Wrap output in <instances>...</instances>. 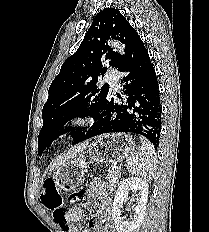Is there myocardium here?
<instances>
[{"label":"myocardium","mask_w":209,"mask_h":232,"mask_svg":"<svg viewBox=\"0 0 209 232\" xmlns=\"http://www.w3.org/2000/svg\"><path fill=\"white\" fill-rule=\"evenodd\" d=\"M85 122L83 117H77L71 121V126H79Z\"/></svg>","instance_id":"obj_1"}]
</instances>
